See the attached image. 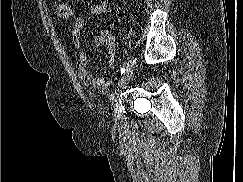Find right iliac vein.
<instances>
[{"instance_id": "obj_1", "label": "right iliac vein", "mask_w": 243, "mask_h": 182, "mask_svg": "<svg viewBox=\"0 0 243 182\" xmlns=\"http://www.w3.org/2000/svg\"><path fill=\"white\" fill-rule=\"evenodd\" d=\"M135 64H136V58L132 57L127 64L125 73L123 74V76L121 77V79L118 82L115 92L112 94V97H111L112 106H114L116 104L117 96H118L120 90L124 87L125 84L128 83V81L132 77V74H133V71L135 68Z\"/></svg>"}]
</instances>
